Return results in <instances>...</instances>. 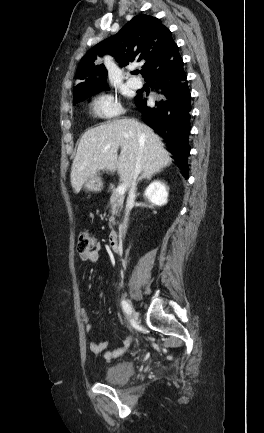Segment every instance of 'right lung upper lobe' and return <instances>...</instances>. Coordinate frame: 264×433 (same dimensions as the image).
I'll use <instances>...</instances> for the list:
<instances>
[{
    "label": "right lung upper lobe",
    "mask_w": 264,
    "mask_h": 433,
    "mask_svg": "<svg viewBox=\"0 0 264 433\" xmlns=\"http://www.w3.org/2000/svg\"><path fill=\"white\" fill-rule=\"evenodd\" d=\"M103 54L113 56L121 67L133 61H143L140 73L144 77L179 53L170 30L157 18L135 16L116 35L97 44L81 59L76 72V79L81 82L74 87L73 101L107 89L106 68L103 64H94L96 56L102 57Z\"/></svg>",
    "instance_id": "cb5924a9"
}]
</instances>
